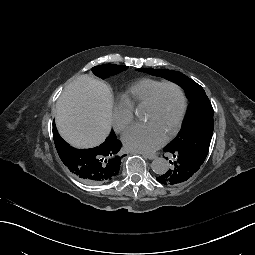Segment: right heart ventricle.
<instances>
[{
  "instance_id": "right-heart-ventricle-1",
  "label": "right heart ventricle",
  "mask_w": 255,
  "mask_h": 255,
  "mask_svg": "<svg viewBox=\"0 0 255 255\" xmlns=\"http://www.w3.org/2000/svg\"><path fill=\"white\" fill-rule=\"evenodd\" d=\"M160 83L161 81L156 79H141L119 96L118 103L131 111H135L139 107L145 106L152 91Z\"/></svg>"
}]
</instances>
